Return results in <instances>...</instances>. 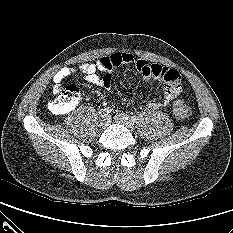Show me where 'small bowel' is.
Listing matches in <instances>:
<instances>
[{
	"label": "small bowel",
	"mask_w": 233,
	"mask_h": 233,
	"mask_svg": "<svg viewBox=\"0 0 233 233\" xmlns=\"http://www.w3.org/2000/svg\"><path fill=\"white\" fill-rule=\"evenodd\" d=\"M122 64L131 65L134 69V78L143 76L146 80H157L164 84V95L161 99L151 100L147 103L150 109L166 107L181 93V79L179 73L168 67L158 64H149L145 60L138 59L132 54L117 52L101 57L94 63H86L79 67L84 79L95 86L109 87L111 83L110 71ZM76 70L63 67L53 77V91L58 93L61 83ZM113 105V110H117Z\"/></svg>",
	"instance_id": "obj_1"
}]
</instances>
